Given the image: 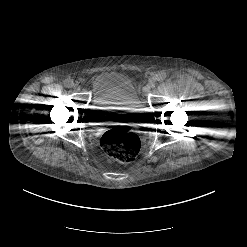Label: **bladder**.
<instances>
[{"label": "bladder", "mask_w": 247, "mask_h": 247, "mask_svg": "<svg viewBox=\"0 0 247 247\" xmlns=\"http://www.w3.org/2000/svg\"><path fill=\"white\" fill-rule=\"evenodd\" d=\"M91 90V116L95 122L133 121L140 116V98L128 76L117 72L97 74Z\"/></svg>", "instance_id": "31cf9c89"}]
</instances>
